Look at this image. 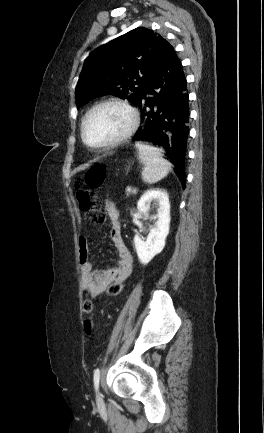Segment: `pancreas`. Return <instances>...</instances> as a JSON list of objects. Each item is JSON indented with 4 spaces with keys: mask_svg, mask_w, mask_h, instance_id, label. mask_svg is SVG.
<instances>
[{
    "mask_svg": "<svg viewBox=\"0 0 264 433\" xmlns=\"http://www.w3.org/2000/svg\"><path fill=\"white\" fill-rule=\"evenodd\" d=\"M130 195V193H127V196H129Z\"/></svg>",
    "mask_w": 264,
    "mask_h": 433,
    "instance_id": "obj_1",
    "label": "pancreas"
}]
</instances>
